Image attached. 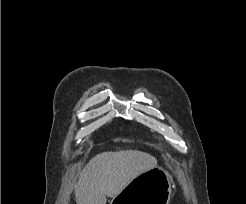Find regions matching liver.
I'll return each mask as SVG.
<instances>
[{"mask_svg":"<svg viewBox=\"0 0 246 204\" xmlns=\"http://www.w3.org/2000/svg\"><path fill=\"white\" fill-rule=\"evenodd\" d=\"M157 166V159L138 150L103 152L81 171L75 188L77 204H106L135 177Z\"/></svg>","mask_w":246,"mask_h":204,"instance_id":"obj_1","label":"liver"}]
</instances>
